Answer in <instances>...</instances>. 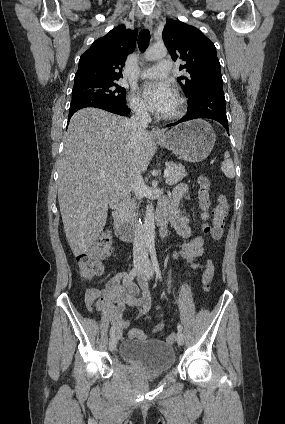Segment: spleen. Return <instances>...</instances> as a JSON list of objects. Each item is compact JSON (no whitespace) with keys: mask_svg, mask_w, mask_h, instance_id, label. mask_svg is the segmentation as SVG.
<instances>
[{"mask_svg":"<svg viewBox=\"0 0 285 424\" xmlns=\"http://www.w3.org/2000/svg\"><path fill=\"white\" fill-rule=\"evenodd\" d=\"M221 170L226 177L233 179L235 177V168L233 161L230 159V154L228 151L224 153V161L221 164Z\"/></svg>","mask_w":285,"mask_h":424,"instance_id":"1","label":"spleen"}]
</instances>
